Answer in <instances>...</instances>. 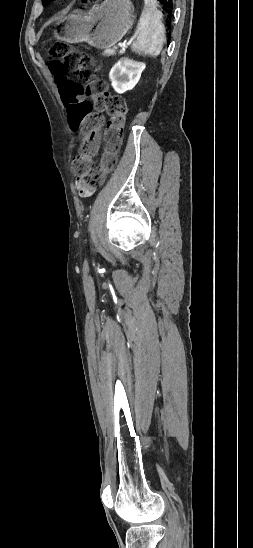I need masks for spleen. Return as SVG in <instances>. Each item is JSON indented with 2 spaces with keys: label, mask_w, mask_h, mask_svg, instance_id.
I'll use <instances>...</instances> for the list:
<instances>
[{
  "label": "spleen",
  "mask_w": 253,
  "mask_h": 548,
  "mask_svg": "<svg viewBox=\"0 0 253 548\" xmlns=\"http://www.w3.org/2000/svg\"><path fill=\"white\" fill-rule=\"evenodd\" d=\"M144 2L145 6L137 24L138 36L132 44V50L138 54L157 57L165 42L162 13L157 9L155 0Z\"/></svg>",
  "instance_id": "3e777b00"
}]
</instances>
